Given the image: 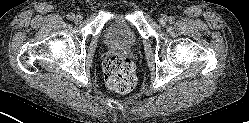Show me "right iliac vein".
Wrapping results in <instances>:
<instances>
[{"instance_id":"1","label":"right iliac vein","mask_w":249,"mask_h":123,"mask_svg":"<svg viewBox=\"0 0 249 123\" xmlns=\"http://www.w3.org/2000/svg\"><path fill=\"white\" fill-rule=\"evenodd\" d=\"M75 22L76 23H81L82 20H83V16L82 15H76L75 18H74Z\"/></svg>"}]
</instances>
